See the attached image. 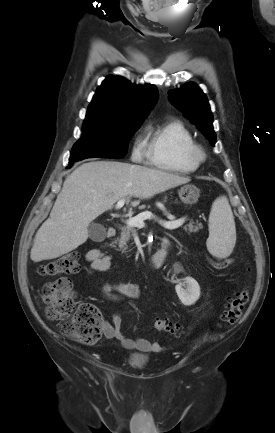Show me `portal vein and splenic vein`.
Masks as SVG:
<instances>
[{"mask_svg": "<svg viewBox=\"0 0 275 433\" xmlns=\"http://www.w3.org/2000/svg\"><path fill=\"white\" fill-rule=\"evenodd\" d=\"M124 204H125V199H121L117 202L115 208L116 209L122 208L124 206ZM152 218H154V216L151 212H144V213L139 214L136 217L128 219L126 221V224L129 226H133V227H142V226H144L145 220L152 219ZM184 222H185V219L181 218L178 220L170 219L169 221L160 220L159 224L166 229H176V228L182 226Z\"/></svg>", "mask_w": 275, "mask_h": 433, "instance_id": "1", "label": "portal vein and splenic vein"}]
</instances>
